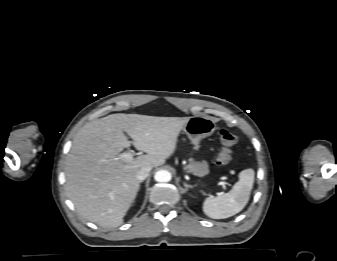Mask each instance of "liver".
<instances>
[{"mask_svg":"<svg viewBox=\"0 0 337 261\" xmlns=\"http://www.w3.org/2000/svg\"><path fill=\"white\" fill-rule=\"evenodd\" d=\"M189 120L117 113L81 128L64 168L66 192L78 213L101 227L120 226L140 187L137 171L163 165ZM131 143L147 154L124 162L119 153Z\"/></svg>","mask_w":337,"mask_h":261,"instance_id":"1","label":"liver"}]
</instances>
